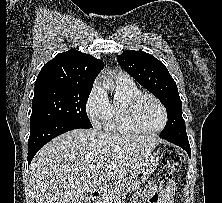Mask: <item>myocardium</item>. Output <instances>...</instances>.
<instances>
[{"label": "myocardium", "instance_id": "f54148a6", "mask_svg": "<svg viewBox=\"0 0 222 203\" xmlns=\"http://www.w3.org/2000/svg\"><path fill=\"white\" fill-rule=\"evenodd\" d=\"M145 98H150L153 101H155L162 110L163 123L157 129H147V128L143 127L138 119L137 108H138L139 103ZM126 112H127L128 120L131 123V125L135 129H137L139 132H142V133H147V134L160 133L166 127V125L168 123V112H167L165 105L161 102V100L159 98H157L156 96H154L152 94L139 93V94L135 95L134 97H132L126 105Z\"/></svg>", "mask_w": 222, "mask_h": 203}]
</instances>
